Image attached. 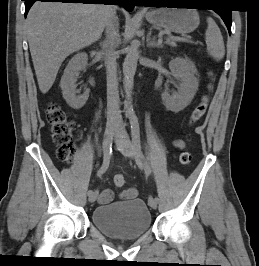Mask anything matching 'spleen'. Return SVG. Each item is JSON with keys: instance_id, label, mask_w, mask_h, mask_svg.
Wrapping results in <instances>:
<instances>
[{"instance_id": "1", "label": "spleen", "mask_w": 259, "mask_h": 266, "mask_svg": "<svg viewBox=\"0 0 259 266\" xmlns=\"http://www.w3.org/2000/svg\"><path fill=\"white\" fill-rule=\"evenodd\" d=\"M207 23L208 27L205 32V41L208 54L216 61H220L225 55V46L221 31L211 17L207 18Z\"/></svg>"}]
</instances>
